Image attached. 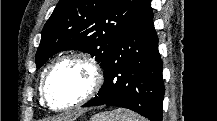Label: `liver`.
<instances>
[{"mask_svg": "<svg viewBox=\"0 0 217 121\" xmlns=\"http://www.w3.org/2000/svg\"><path fill=\"white\" fill-rule=\"evenodd\" d=\"M59 119L62 120V119H64V118L61 117V118H59Z\"/></svg>", "mask_w": 217, "mask_h": 121, "instance_id": "6515ba94", "label": "liver"}]
</instances>
